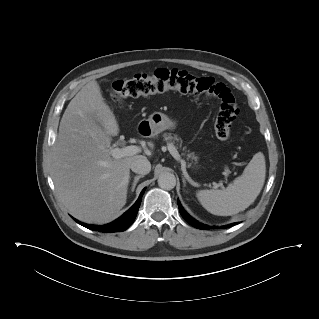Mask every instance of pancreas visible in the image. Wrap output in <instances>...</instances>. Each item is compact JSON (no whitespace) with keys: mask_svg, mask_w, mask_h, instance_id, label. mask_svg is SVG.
Returning a JSON list of instances; mask_svg holds the SVG:
<instances>
[{"mask_svg":"<svg viewBox=\"0 0 319 319\" xmlns=\"http://www.w3.org/2000/svg\"><path fill=\"white\" fill-rule=\"evenodd\" d=\"M164 140L168 143H172L175 144L176 142H179V147H181L182 144V140L181 138H179L177 135H172L171 133H164L163 134ZM186 147H183V150H185ZM187 160H194L197 161L198 160V156L195 155L194 152H190L186 155Z\"/></svg>","mask_w":319,"mask_h":319,"instance_id":"1","label":"pancreas"}]
</instances>
